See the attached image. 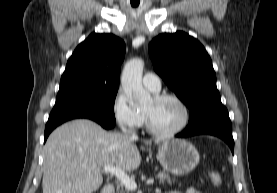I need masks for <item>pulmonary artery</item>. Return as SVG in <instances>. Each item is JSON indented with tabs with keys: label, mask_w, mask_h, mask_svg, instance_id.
Wrapping results in <instances>:
<instances>
[{
	"label": "pulmonary artery",
	"mask_w": 277,
	"mask_h": 193,
	"mask_svg": "<svg viewBox=\"0 0 277 193\" xmlns=\"http://www.w3.org/2000/svg\"><path fill=\"white\" fill-rule=\"evenodd\" d=\"M143 85L151 90L152 92H158L161 89V81L160 78L151 72H147L144 74L142 78Z\"/></svg>",
	"instance_id": "e3ab8cb5"
}]
</instances>
